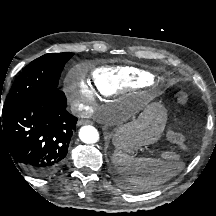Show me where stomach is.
I'll return each mask as SVG.
<instances>
[{
    "label": "stomach",
    "instance_id": "stomach-1",
    "mask_svg": "<svg viewBox=\"0 0 216 216\" xmlns=\"http://www.w3.org/2000/svg\"><path fill=\"white\" fill-rule=\"evenodd\" d=\"M167 110L160 102H150L138 119L121 125L113 134V143L125 152L156 142L164 131Z\"/></svg>",
    "mask_w": 216,
    "mask_h": 216
}]
</instances>
